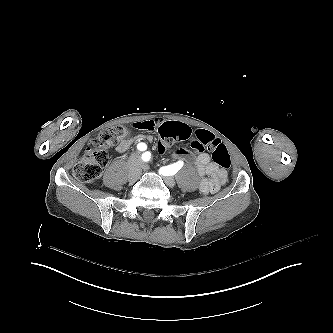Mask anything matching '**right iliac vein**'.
I'll use <instances>...</instances> for the list:
<instances>
[{
  "label": "right iliac vein",
  "instance_id": "obj_1",
  "mask_svg": "<svg viewBox=\"0 0 333 333\" xmlns=\"http://www.w3.org/2000/svg\"><path fill=\"white\" fill-rule=\"evenodd\" d=\"M128 165H129L128 179L134 182L140 177L141 174L137 157H132L129 160Z\"/></svg>",
  "mask_w": 333,
  "mask_h": 333
}]
</instances>
